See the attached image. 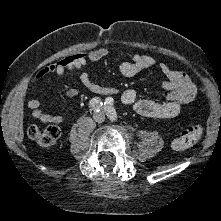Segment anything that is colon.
<instances>
[{
	"label": "colon",
	"mask_w": 221,
	"mask_h": 221,
	"mask_svg": "<svg viewBox=\"0 0 221 221\" xmlns=\"http://www.w3.org/2000/svg\"><path fill=\"white\" fill-rule=\"evenodd\" d=\"M203 128L196 124L181 132L172 140V147L175 150H186L195 145L202 137ZM28 136L37 144L44 147H53L58 143L60 129L57 126H31L28 129Z\"/></svg>",
	"instance_id": "5ec220e1"
}]
</instances>
